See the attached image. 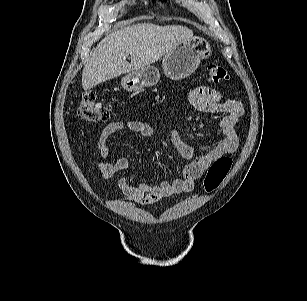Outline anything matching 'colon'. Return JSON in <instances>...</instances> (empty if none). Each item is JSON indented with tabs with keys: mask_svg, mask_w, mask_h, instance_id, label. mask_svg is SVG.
<instances>
[{
	"mask_svg": "<svg viewBox=\"0 0 307 301\" xmlns=\"http://www.w3.org/2000/svg\"><path fill=\"white\" fill-rule=\"evenodd\" d=\"M208 78L213 83H222L229 79L228 71L220 65L208 66ZM79 115L90 123L104 122L110 116V108L97 100L93 92H85L80 101ZM232 165V159L222 156L216 159L208 168L204 179L207 192L214 191L224 180Z\"/></svg>",
	"mask_w": 307,
	"mask_h": 301,
	"instance_id": "1",
	"label": "colon"
}]
</instances>
